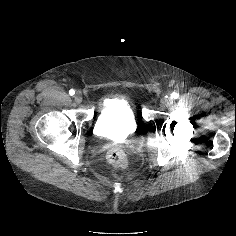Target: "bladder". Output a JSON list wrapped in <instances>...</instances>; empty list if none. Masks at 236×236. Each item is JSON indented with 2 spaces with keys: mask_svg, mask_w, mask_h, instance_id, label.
<instances>
[{
  "mask_svg": "<svg viewBox=\"0 0 236 236\" xmlns=\"http://www.w3.org/2000/svg\"><path fill=\"white\" fill-rule=\"evenodd\" d=\"M138 122L128 100L107 102L95 122V131L103 137L131 136L137 131Z\"/></svg>",
  "mask_w": 236,
  "mask_h": 236,
  "instance_id": "obj_1",
  "label": "bladder"
}]
</instances>
